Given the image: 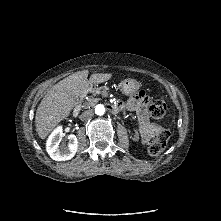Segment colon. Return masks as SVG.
<instances>
[{"label": "colon", "mask_w": 221, "mask_h": 221, "mask_svg": "<svg viewBox=\"0 0 221 221\" xmlns=\"http://www.w3.org/2000/svg\"><path fill=\"white\" fill-rule=\"evenodd\" d=\"M148 113L154 119H161L167 113V105L161 99H153L149 104ZM169 137V130L161 127L148 148L149 154L153 157L160 155L165 149Z\"/></svg>", "instance_id": "colon-1"}]
</instances>
